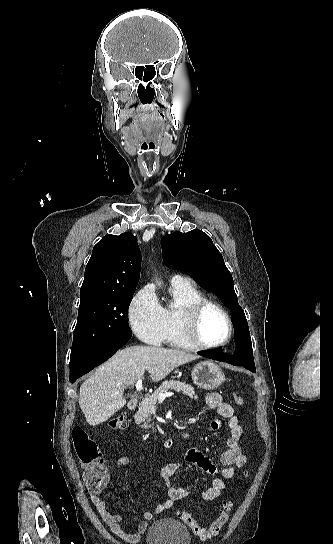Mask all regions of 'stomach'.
I'll use <instances>...</instances> for the list:
<instances>
[{
    "label": "stomach",
    "instance_id": "stomach-1",
    "mask_svg": "<svg viewBox=\"0 0 333 544\" xmlns=\"http://www.w3.org/2000/svg\"><path fill=\"white\" fill-rule=\"evenodd\" d=\"M191 376L194 384L205 390H214L225 380L221 368L211 361H202L195 365Z\"/></svg>",
    "mask_w": 333,
    "mask_h": 544
}]
</instances>
